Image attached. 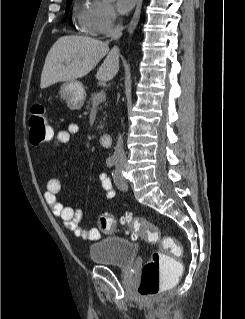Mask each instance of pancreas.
Listing matches in <instances>:
<instances>
[{"instance_id":"pancreas-1","label":"pancreas","mask_w":245,"mask_h":319,"mask_svg":"<svg viewBox=\"0 0 245 319\" xmlns=\"http://www.w3.org/2000/svg\"><path fill=\"white\" fill-rule=\"evenodd\" d=\"M97 95H98L97 92L91 94V97H90L89 101L87 102L86 109H88V110H91V109H92V105L94 104V101H95ZM99 124H100V125H98L97 129H100V130H101V129L103 128L102 122L100 121Z\"/></svg>"}]
</instances>
